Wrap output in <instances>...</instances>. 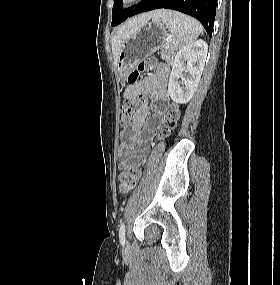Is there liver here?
Here are the masks:
<instances>
[{
	"mask_svg": "<svg viewBox=\"0 0 280 285\" xmlns=\"http://www.w3.org/2000/svg\"><path fill=\"white\" fill-rule=\"evenodd\" d=\"M157 15V11L144 13L138 15L129 21L122 24L115 32L112 41V53L114 57V63H118L119 53L123 42L128 39L141 25L147 23L150 19H153Z\"/></svg>",
	"mask_w": 280,
	"mask_h": 285,
	"instance_id": "6515ba94",
	"label": "liver"
}]
</instances>
